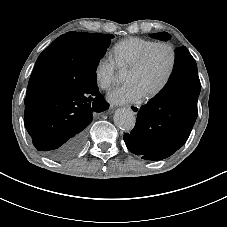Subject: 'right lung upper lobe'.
<instances>
[{"label":"right lung upper lobe","mask_w":227,"mask_h":227,"mask_svg":"<svg viewBox=\"0 0 227 227\" xmlns=\"http://www.w3.org/2000/svg\"><path fill=\"white\" fill-rule=\"evenodd\" d=\"M49 86H52V83L45 76L33 71L28 83L25 104L29 103L38 95L42 94Z\"/></svg>","instance_id":"obj_1"}]
</instances>
